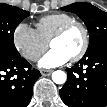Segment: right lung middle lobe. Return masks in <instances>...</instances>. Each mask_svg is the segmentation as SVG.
Returning <instances> with one entry per match:
<instances>
[{
  "label": "right lung middle lobe",
  "instance_id": "right-lung-middle-lobe-1",
  "mask_svg": "<svg viewBox=\"0 0 107 107\" xmlns=\"http://www.w3.org/2000/svg\"><path fill=\"white\" fill-rule=\"evenodd\" d=\"M29 16V12L7 4H0V55L7 58L19 57L13 35L17 25Z\"/></svg>",
  "mask_w": 107,
  "mask_h": 107
}]
</instances>
